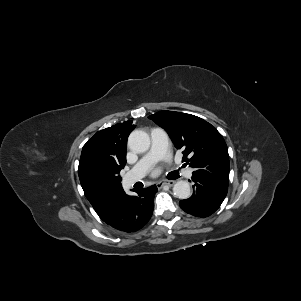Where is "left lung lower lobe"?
Instances as JSON below:
<instances>
[{"mask_svg":"<svg viewBox=\"0 0 301 301\" xmlns=\"http://www.w3.org/2000/svg\"><path fill=\"white\" fill-rule=\"evenodd\" d=\"M193 195L179 202L187 213L197 217H207L213 214L226 197L228 186L221 185L201 176H192Z\"/></svg>","mask_w":301,"mask_h":301,"instance_id":"1","label":"left lung lower lobe"}]
</instances>
